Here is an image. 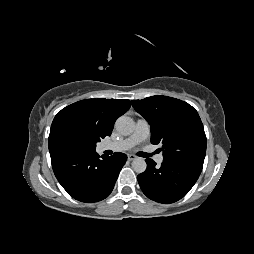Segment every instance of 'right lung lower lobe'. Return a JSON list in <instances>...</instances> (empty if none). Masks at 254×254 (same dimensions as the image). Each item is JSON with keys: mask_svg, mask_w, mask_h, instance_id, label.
Wrapping results in <instances>:
<instances>
[{"mask_svg": "<svg viewBox=\"0 0 254 254\" xmlns=\"http://www.w3.org/2000/svg\"><path fill=\"white\" fill-rule=\"evenodd\" d=\"M54 174L62 187L76 200L86 203L105 199L112 192L127 156H112L73 149L50 154Z\"/></svg>", "mask_w": 254, "mask_h": 254, "instance_id": "98d812e1", "label": "right lung lower lobe"}]
</instances>
